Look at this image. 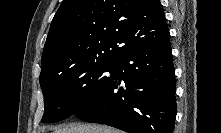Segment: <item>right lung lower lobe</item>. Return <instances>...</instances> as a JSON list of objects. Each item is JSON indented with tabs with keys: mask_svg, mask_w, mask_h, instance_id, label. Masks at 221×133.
<instances>
[{
	"mask_svg": "<svg viewBox=\"0 0 221 133\" xmlns=\"http://www.w3.org/2000/svg\"><path fill=\"white\" fill-rule=\"evenodd\" d=\"M175 90L168 37L118 57L106 82L74 115L128 133H173Z\"/></svg>",
	"mask_w": 221,
	"mask_h": 133,
	"instance_id": "1",
	"label": "right lung lower lobe"
}]
</instances>
